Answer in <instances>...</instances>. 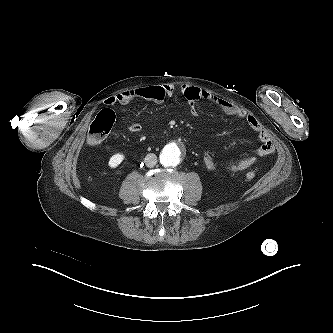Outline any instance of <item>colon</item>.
<instances>
[{
	"label": "colon",
	"mask_w": 333,
	"mask_h": 333,
	"mask_svg": "<svg viewBox=\"0 0 333 333\" xmlns=\"http://www.w3.org/2000/svg\"><path fill=\"white\" fill-rule=\"evenodd\" d=\"M115 121V115L112 110H102L91 123L88 133L89 145L95 147L100 145L110 132ZM255 178L253 172H247L245 179L251 181Z\"/></svg>",
	"instance_id": "5ec220e1"
}]
</instances>
